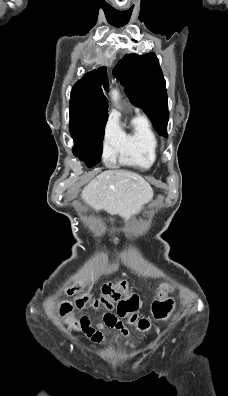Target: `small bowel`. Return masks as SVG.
Segmentation results:
<instances>
[{"mask_svg": "<svg viewBox=\"0 0 228 396\" xmlns=\"http://www.w3.org/2000/svg\"><path fill=\"white\" fill-rule=\"evenodd\" d=\"M121 334L123 336H128L129 332L128 330L123 326L119 328ZM83 331L84 334L89 337L93 342H101L103 339V335L101 332L99 331H95L94 329H92L88 323L84 324L83 326Z\"/></svg>", "mask_w": 228, "mask_h": 396, "instance_id": "1", "label": "small bowel"}]
</instances>
